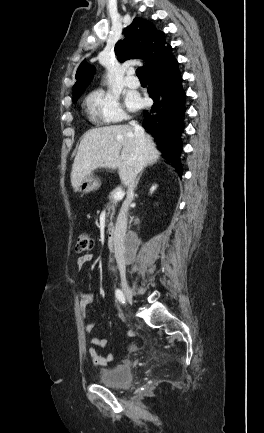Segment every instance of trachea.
<instances>
[{
    "instance_id": "1",
    "label": "trachea",
    "mask_w": 264,
    "mask_h": 433,
    "mask_svg": "<svg viewBox=\"0 0 264 433\" xmlns=\"http://www.w3.org/2000/svg\"><path fill=\"white\" fill-rule=\"evenodd\" d=\"M136 75H137L139 78H144V75L142 74V72H141V70H140L139 68L136 70Z\"/></svg>"
}]
</instances>
